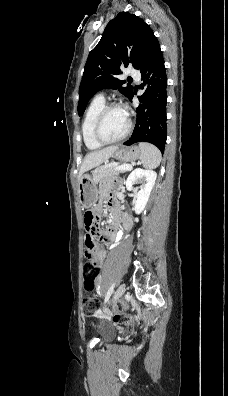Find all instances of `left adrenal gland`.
Here are the masks:
<instances>
[{
  "mask_svg": "<svg viewBox=\"0 0 228 396\" xmlns=\"http://www.w3.org/2000/svg\"><path fill=\"white\" fill-rule=\"evenodd\" d=\"M122 182L124 183V178L122 179Z\"/></svg>",
  "mask_w": 228,
  "mask_h": 396,
  "instance_id": "1",
  "label": "left adrenal gland"
}]
</instances>
